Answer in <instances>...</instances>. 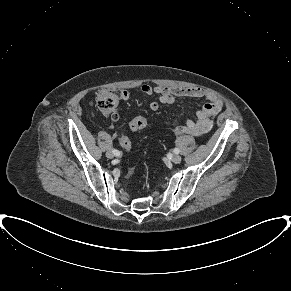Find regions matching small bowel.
I'll list each match as a JSON object with an SVG mask.
<instances>
[{"mask_svg": "<svg viewBox=\"0 0 291 291\" xmlns=\"http://www.w3.org/2000/svg\"><path fill=\"white\" fill-rule=\"evenodd\" d=\"M139 90L145 95H158L159 102L163 104H173L177 99L186 97L205 98L207 100L202 108L197 111L196 119H188L184 126L175 128L174 134L176 136L184 134L201 136L207 133L213 126L211 117L217 115L223 108V103L216 94L201 88L165 87L143 84ZM129 97V91H121L122 100H127ZM149 108L151 111H157L159 109V103L155 101L151 102ZM104 113L112 122L119 120V114L116 109Z\"/></svg>", "mask_w": 291, "mask_h": 291, "instance_id": "small-bowel-1", "label": "small bowel"}]
</instances>
